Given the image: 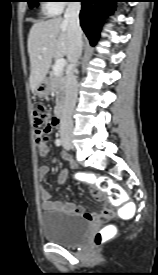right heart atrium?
Returning a JSON list of instances; mask_svg holds the SVG:
<instances>
[{
	"instance_id": "d8ad5b80",
	"label": "right heart atrium",
	"mask_w": 158,
	"mask_h": 275,
	"mask_svg": "<svg viewBox=\"0 0 158 275\" xmlns=\"http://www.w3.org/2000/svg\"><path fill=\"white\" fill-rule=\"evenodd\" d=\"M71 0H53L52 3L46 4V8L51 14H57L59 13L65 5H67V2H70Z\"/></svg>"
}]
</instances>
